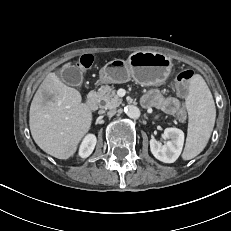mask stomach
Segmentation results:
<instances>
[{"label":"stomach","mask_w":231,"mask_h":231,"mask_svg":"<svg viewBox=\"0 0 231 231\" xmlns=\"http://www.w3.org/2000/svg\"><path fill=\"white\" fill-rule=\"evenodd\" d=\"M172 61L165 54L152 51H137L126 61L115 59L100 70L104 83H125L130 79L145 86L162 84L169 76Z\"/></svg>","instance_id":"0dacf381"}]
</instances>
